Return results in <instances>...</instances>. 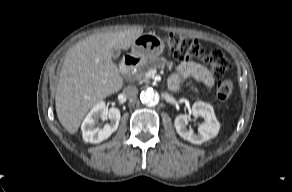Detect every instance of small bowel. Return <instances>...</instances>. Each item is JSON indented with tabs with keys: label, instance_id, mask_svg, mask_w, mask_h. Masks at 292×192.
<instances>
[{
	"label": "small bowel",
	"instance_id": "c3829d8e",
	"mask_svg": "<svg viewBox=\"0 0 292 192\" xmlns=\"http://www.w3.org/2000/svg\"><path fill=\"white\" fill-rule=\"evenodd\" d=\"M187 78H193L198 82L205 84L206 86H212L214 78L211 73L202 65L193 62H183L176 74L173 75L170 81V86L172 89H176L180 82Z\"/></svg>",
	"mask_w": 292,
	"mask_h": 192
}]
</instances>
